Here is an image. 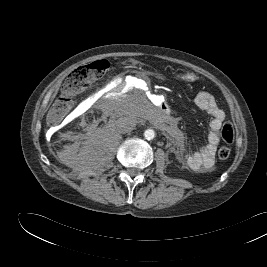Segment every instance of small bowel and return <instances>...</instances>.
Masks as SVG:
<instances>
[{
	"instance_id": "1",
	"label": "small bowel",
	"mask_w": 267,
	"mask_h": 267,
	"mask_svg": "<svg viewBox=\"0 0 267 267\" xmlns=\"http://www.w3.org/2000/svg\"><path fill=\"white\" fill-rule=\"evenodd\" d=\"M195 105L212 116L209 124L208 142L199 149L182 153V161L194 171L211 169L215 164V154L219 144V132L226 118L225 112L218 105L215 97L208 91L201 90L194 97Z\"/></svg>"
}]
</instances>
